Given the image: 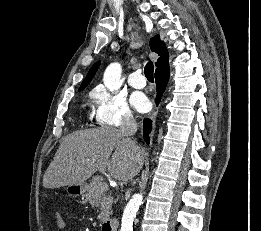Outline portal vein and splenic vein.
Instances as JSON below:
<instances>
[{
	"label": "portal vein and splenic vein",
	"mask_w": 261,
	"mask_h": 231,
	"mask_svg": "<svg viewBox=\"0 0 261 231\" xmlns=\"http://www.w3.org/2000/svg\"><path fill=\"white\" fill-rule=\"evenodd\" d=\"M101 190L107 191V190H108V184L104 183V184L101 186Z\"/></svg>",
	"instance_id": "1"
}]
</instances>
